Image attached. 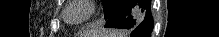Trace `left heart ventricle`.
Wrapping results in <instances>:
<instances>
[{
	"instance_id": "b2bd125f",
	"label": "left heart ventricle",
	"mask_w": 219,
	"mask_h": 37,
	"mask_svg": "<svg viewBox=\"0 0 219 37\" xmlns=\"http://www.w3.org/2000/svg\"><path fill=\"white\" fill-rule=\"evenodd\" d=\"M86 13V8L82 5H74L68 12V18L70 20H78L82 18Z\"/></svg>"
}]
</instances>
